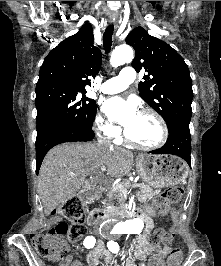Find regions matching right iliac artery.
Returning <instances> with one entry per match:
<instances>
[{
  "label": "right iliac artery",
  "instance_id": "82829eb1",
  "mask_svg": "<svg viewBox=\"0 0 221 266\" xmlns=\"http://www.w3.org/2000/svg\"><path fill=\"white\" fill-rule=\"evenodd\" d=\"M96 243V239L93 236H87L83 242L85 248H93Z\"/></svg>",
  "mask_w": 221,
  "mask_h": 266
}]
</instances>
